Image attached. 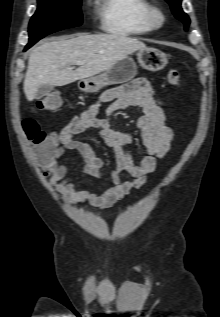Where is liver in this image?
<instances>
[{
    "label": "liver",
    "instance_id": "1",
    "mask_svg": "<svg viewBox=\"0 0 220 317\" xmlns=\"http://www.w3.org/2000/svg\"><path fill=\"white\" fill-rule=\"evenodd\" d=\"M144 48L143 42L119 34H78L45 42L29 55L23 83L26 99L33 101L42 85L64 86L93 77ZM78 63L80 67L72 70L70 66Z\"/></svg>",
    "mask_w": 220,
    "mask_h": 317
}]
</instances>
